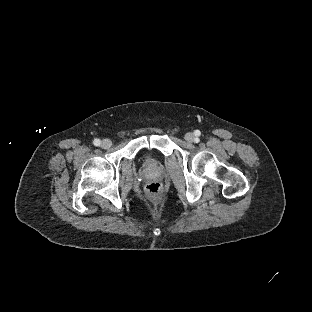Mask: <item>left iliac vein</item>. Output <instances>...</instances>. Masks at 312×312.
I'll return each mask as SVG.
<instances>
[{
	"label": "left iliac vein",
	"instance_id": "4c4485c4",
	"mask_svg": "<svg viewBox=\"0 0 312 312\" xmlns=\"http://www.w3.org/2000/svg\"><path fill=\"white\" fill-rule=\"evenodd\" d=\"M185 139H186V141H188V142H193L194 139H195L194 134L191 133V132L186 133V134H185Z\"/></svg>",
	"mask_w": 312,
	"mask_h": 312
}]
</instances>
